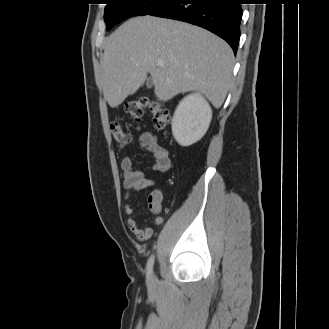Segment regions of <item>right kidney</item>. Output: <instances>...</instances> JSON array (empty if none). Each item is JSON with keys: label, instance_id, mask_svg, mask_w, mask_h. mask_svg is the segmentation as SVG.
I'll return each mask as SVG.
<instances>
[{"label": "right kidney", "instance_id": "1", "mask_svg": "<svg viewBox=\"0 0 329 329\" xmlns=\"http://www.w3.org/2000/svg\"><path fill=\"white\" fill-rule=\"evenodd\" d=\"M212 109L200 94L184 97L177 106L172 119V133L181 146L199 141L209 128Z\"/></svg>", "mask_w": 329, "mask_h": 329}]
</instances>
